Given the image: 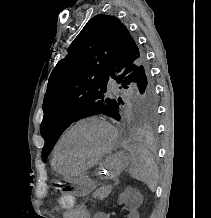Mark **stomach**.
Instances as JSON below:
<instances>
[{
    "instance_id": "0dacf381",
    "label": "stomach",
    "mask_w": 211,
    "mask_h": 218,
    "mask_svg": "<svg viewBox=\"0 0 211 218\" xmlns=\"http://www.w3.org/2000/svg\"><path fill=\"white\" fill-rule=\"evenodd\" d=\"M129 165V157L125 152L110 155L103 163L98 175L101 179L116 178ZM72 185V192L76 196H86L96 187L95 182L86 175L73 177L68 180Z\"/></svg>"
}]
</instances>
